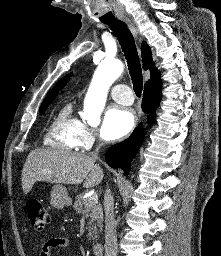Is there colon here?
<instances>
[{
  "mask_svg": "<svg viewBox=\"0 0 221 256\" xmlns=\"http://www.w3.org/2000/svg\"><path fill=\"white\" fill-rule=\"evenodd\" d=\"M29 221L35 230H43L50 221V214L38 199H30L26 203Z\"/></svg>",
  "mask_w": 221,
  "mask_h": 256,
  "instance_id": "obj_1",
  "label": "colon"
}]
</instances>
